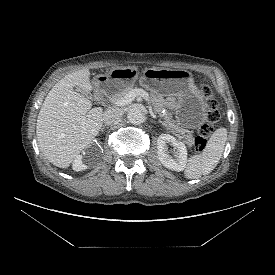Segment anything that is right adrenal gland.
I'll use <instances>...</instances> for the list:
<instances>
[{
	"mask_svg": "<svg viewBox=\"0 0 275 275\" xmlns=\"http://www.w3.org/2000/svg\"><path fill=\"white\" fill-rule=\"evenodd\" d=\"M105 127H106V126L103 125V126L101 127V131H103Z\"/></svg>",
	"mask_w": 275,
	"mask_h": 275,
	"instance_id": "right-adrenal-gland-1",
	"label": "right adrenal gland"
}]
</instances>
